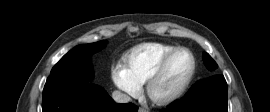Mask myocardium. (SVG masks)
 I'll return each instance as SVG.
<instances>
[{
  "mask_svg": "<svg viewBox=\"0 0 270 112\" xmlns=\"http://www.w3.org/2000/svg\"><path fill=\"white\" fill-rule=\"evenodd\" d=\"M179 52H187L191 58V69L190 72L188 73L187 77L185 80L181 83V85L176 88L174 91L171 93L164 95L162 97H156L154 95V88L158 81L161 79L163 76L168 64L172 60V58L178 54ZM196 68H197V62L194 54L192 53L191 50H189L186 47H176L173 49L171 52H169L158 64V66L155 68L153 73L150 75L148 80L146 81V93L149 99L157 104V105H168L177 99H179L188 89L190 86L191 82L194 79L195 73H196Z\"/></svg>",
  "mask_w": 270,
  "mask_h": 112,
  "instance_id": "myocardium-1",
  "label": "myocardium"
}]
</instances>
